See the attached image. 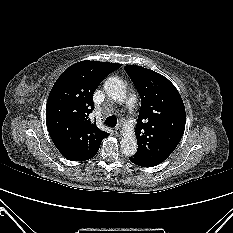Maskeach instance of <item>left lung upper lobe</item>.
<instances>
[{
  "label": "left lung upper lobe",
  "instance_id": "5c2ea615",
  "mask_svg": "<svg viewBox=\"0 0 233 233\" xmlns=\"http://www.w3.org/2000/svg\"><path fill=\"white\" fill-rule=\"evenodd\" d=\"M125 71L141 97L133 156L152 167L162 163L180 142L186 122L185 107L175 86L163 75L137 65Z\"/></svg>",
  "mask_w": 233,
  "mask_h": 233
}]
</instances>
